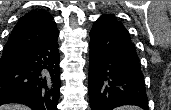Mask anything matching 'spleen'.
<instances>
[{
	"label": "spleen",
	"mask_w": 171,
	"mask_h": 110,
	"mask_svg": "<svg viewBox=\"0 0 171 110\" xmlns=\"http://www.w3.org/2000/svg\"><path fill=\"white\" fill-rule=\"evenodd\" d=\"M117 110H140L137 106H122L119 107Z\"/></svg>",
	"instance_id": "1"
}]
</instances>
